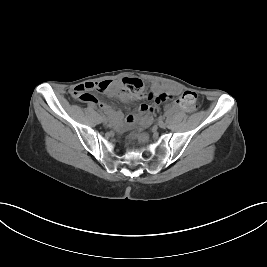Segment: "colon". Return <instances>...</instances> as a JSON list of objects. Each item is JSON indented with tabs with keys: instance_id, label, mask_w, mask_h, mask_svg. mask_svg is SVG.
I'll return each mask as SVG.
<instances>
[{
	"instance_id": "1",
	"label": "colon",
	"mask_w": 267,
	"mask_h": 267,
	"mask_svg": "<svg viewBox=\"0 0 267 267\" xmlns=\"http://www.w3.org/2000/svg\"><path fill=\"white\" fill-rule=\"evenodd\" d=\"M110 85V81H102L92 86L90 84H83L74 91V98L77 101H88L93 99V95L90 93L92 90L103 91ZM124 90L131 94L135 98H141L144 94V87L141 81L137 79H126L124 81ZM155 104H160L167 101L170 96L167 93L150 94L148 96ZM181 107L187 112H193L197 109V95L192 91H186L178 100Z\"/></svg>"
}]
</instances>
